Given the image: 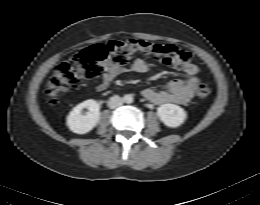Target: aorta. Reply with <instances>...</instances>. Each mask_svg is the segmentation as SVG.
<instances>
[{
  "label": "aorta",
  "mask_w": 260,
  "mask_h": 205,
  "mask_svg": "<svg viewBox=\"0 0 260 205\" xmlns=\"http://www.w3.org/2000/svg\"><path fill=\"white\" fill-rule=\"evenodd\" d=\"M124 101H125L126 103H132V102H133V97H132V95H130V94L126 95V96L124 97Z\"/></svg>",
  "instance_id": "aorta-1"
}]
</instances>
